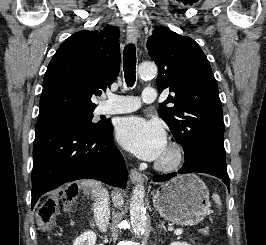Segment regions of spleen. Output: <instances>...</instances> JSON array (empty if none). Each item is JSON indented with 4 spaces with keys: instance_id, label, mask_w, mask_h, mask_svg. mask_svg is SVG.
<instances>
[{
    "instance_id": "obj_1",
    "label": "spleen",
    "mask_w": 266,
    "mask_h": 245,
    "mask_svg": "<svg viewBox=\"0 0 266 245\" xmlns=\"http://www.w3.org/2000/svg\"><path fill=\"white\" fill-rule=\"evenodd\" d=\"M212 199H213L214 203H216L218 209H221L222 203L220 201L219 195H216V193H214V195H212Z\"/></svg>"
}]
</instances>
